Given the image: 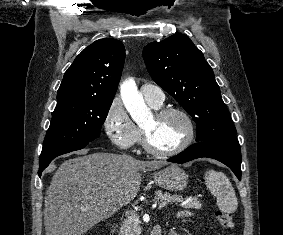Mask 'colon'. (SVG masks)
Instances as JSON below:
<instances>
[{
    "label": "colon",
    "mask_w": 283,
    "mask_h": 235,
    "mask_svg": "<svg viewBox=\"0 0 283 235\" xmlns=\"http://www.w3.org/2000/svg\"><path fill=\"white\" fill-rule=\"evenodd\" d=\"M216 219L222 227L229 228L232 225V216L225 212H217Z\"/></svg>",
    "instance_id": "1"
}]
</instances>
